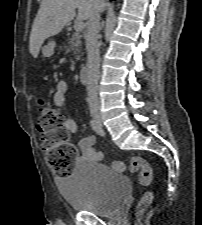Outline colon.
I'll return each instance as SVG.
<instances>
[{
    "mask_svg": "<svg viewBox=\"0 0 202 225\" xmlns=\"http://www.w3.org/2000/svg\"><path fill=\"white\" fill-rule=\"evenodd\" d=\"M37 130L41 135L42 149L48 166L56 176L66 177L73 172L75 162L79 156L78 147L69 141V132L63 126V119L52 108L40 110L37 120ZM114 166L122 169L119 161ZM129 172L137 175L143 186L153 182L154 174L151 165L143 157L134 156L129 162ZM154 195L146 192L138 203V211L143 212L152 203Z\"/></svg>",
    "mask_w": 202,
    "mask_h": 225,
    "instance_id": "1",
    "label": "colon"
}]
</instances>
